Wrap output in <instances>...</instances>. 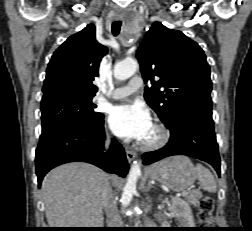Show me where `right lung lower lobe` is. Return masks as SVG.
Instances as JSON below:
<instances>
[{"mask_svg": "<svg viewBox=\"0 0 252 231\" xmlns=\"http://www.w3.org/2000/svg\"><path fill=\"white\" fill-rule=\"evenodd\" d=\"M104 140V117L96 124L63 122L42 130L35 157L38 183L52 168L75 161L91 163L125 177L129 164L123 147L112 139L105 153Z\"/></svg>", "mask_w": 252, "mask_h": 231, "instance_id": "98d812e1", "label": "right lung lower lobe"}]
</instances>
